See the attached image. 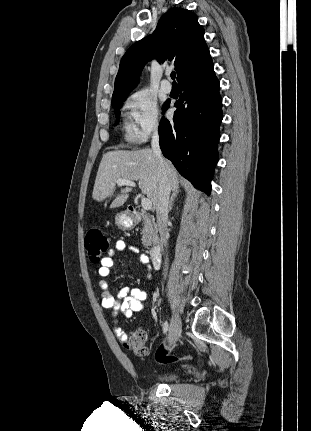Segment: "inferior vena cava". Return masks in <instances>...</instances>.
<instances>
[{
  "label": "inferior vena cava",
  "mask_w": 311,
  "mask_h": 431,
  "mask_svg": "<svg viewBox=\"0 0 311 431\" xmlns=\"http://www.w3.org/2000/svg\"><path fill=\"white\" fill-rule=\"evenodd\" d=\"M159 132L158 126H155L152 140H151V150L153 154H155L157 158V162L159 164V186H158V194H157V206H156V217H157V225L160 233V237L162 239V243L167 245L168 239V231H167V221H168V212H169V198H170V188L167 180V172L164 166V158L162 156V152L159 146ZM167 263V257H166ZM168 267L165 265L164 275L166 277Z\"/></svg>",
  "instance_id": "inferior-vena-cava-1"
}]
</instances>
